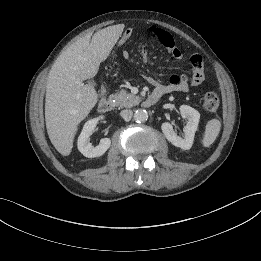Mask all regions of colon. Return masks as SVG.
I'll list each match as a JSON object with an SVG mask.
<instances>
[{"label": "colon", "instance_id": "1", "mask_svg": "<svg viewBox=\"0 0 261 261\" xmlns=\"http://www.w3.org/2000/svg\"><path fill=\"white\" fill-rule=\"evenodd\" d=\"M133 32L131 28H128L116 41L119 47L125 46L128 40L132 37ZM219 98L213 92H207L203 96V105L208 111H216L219 107Z\"/></svg>", "mask_w": 261, "mask_h": 261}]
</instances>
